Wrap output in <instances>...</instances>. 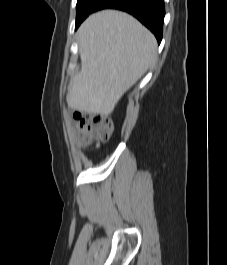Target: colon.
I'll return each mask as SVG.
<instances>
[{"label":"colon","mask_w":227,"mask_h":265,"mask_svg":"<svg viewBox=\"0 0 227 265\" xmlns=\"http://www.w3.org/2000/svg\"><path fill=\"white\" fill-rule=\"evenodd\" d=\"M73 117L83 132L81 143L86 146L93 141L106 142L112 136L114 123L106 113H90L76 110Z\"/></svg>","instance_id":"1"}]
</instances>
